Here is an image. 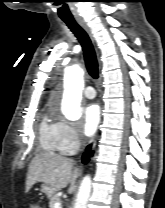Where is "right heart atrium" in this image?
Instances as JSON below:
<instances>
[{
  "label": "right heart atrium",
  "instance_id": "right-heart-atrium-1",
  "mask_svg": "<svg viewBox=\"0 0 165 208\" xmlns=\"http://www.w3.org/2000/svg\"><path fill=\"white\" fill-rule=\"evenodd\" d=\"M54 125L59 152L65 155L73 154L82 142L78 127L62 118L54 123Z\"/></svg>",
  "mask_w": 165,
  "mask_h": 208
}]
</instances>
